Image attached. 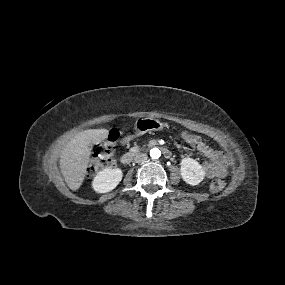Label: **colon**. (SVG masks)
Here are the masks:
<instances>
[{
	"mask_svg": "<svg viewBox=\"0 0 285 285\" xmlns=\"http://www.w3.org/2000/svg\"><path fill=\"white\" fill-rule=\"evenodd\" d=\"M116 138L117 136L115 134H112L109 136L106 144L97 147L89 165L90 172H95L98 169L105 167H111L114 164V160L112 158V150L113 143L115 142ZM183 139L190 147L201 149L204 146V141L191 133H184ZM225 184L226 183L224 179L217 178L211 183L210 189L212 192H219L225 187Z\"/></svg>",
	"mask_w": 285,
	"mask_h": 285,
	"instance_id": "1",
	"label": "colon"
}]
</instances>
